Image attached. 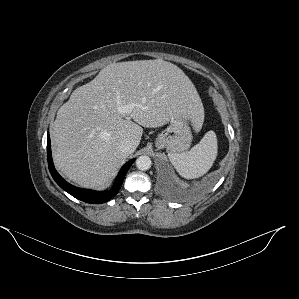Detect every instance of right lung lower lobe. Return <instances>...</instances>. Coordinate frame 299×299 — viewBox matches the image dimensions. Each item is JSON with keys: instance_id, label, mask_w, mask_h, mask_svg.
<instances>
[{"instance_id": "right-lung-lower-lobe-1", "label": "right lung lower lobe", "mask_w": 299, "mask_h": 299, "mask_svg": "<svg viewBox=\"0 0 299 299\" xmlns=\"http://www.w3.org/2000/svg\"><path fill=\"white\" fill-rule=\"evenodd\" d=\"M51 145H50V136L49 134L47 135V156H48V167L49 171L53 177V179L56 181V183L66 192H68L70 195L73 197L87 202V203H92V204H101L109 201L112 199L119 191L123 179L132 165V163L135 161V159L130 160L127 162L122 169L120 170L113 187L110 190L107 191H94V190H86V189H81L77 188L68 182H66L55 170L53 161H52V156H51Z\"/></svg>"}]
</instances>
